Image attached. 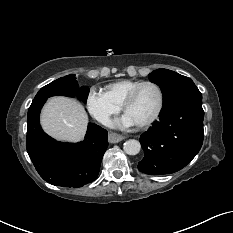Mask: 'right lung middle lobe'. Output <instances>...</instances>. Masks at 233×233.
I'll list each match as a JSON object with an SVG mask.
<instances>
[{
    "label": "right lung middle lobe",
    "mask_w": 233,
    "mask_h": 233,
    "mask_svg": "<svg viewBox=\"0 0 233 233\" xmlns=\"http://www.w3.org/2000/svg\"><path fill=\"white\" fill-rule=\"evenodd\" d=\"M88 93L89 90L87 87L79 88L78 82L75 80V75L72 74L59 78L42 87L36 94L33 101L54 95H64L70 97L77 96L78 99L85 102L88 97Z\"/></svg>",
    "instance_id": "right-lung-middle-lobe-1"
}]
</instances>
